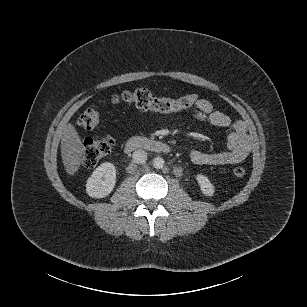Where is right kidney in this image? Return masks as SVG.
Returning a JSON list of instances; mask_svg holds the SVG:
<instances>
[{
  "instance_id": "right-kidney-1",
  "label": "right kidney",
  "mask_w": 307,
  "mask_h": 307,
  "mask_svg": "<svg viewBox=\"0 0 307 307\" xmlns=\"http://www.w3.org/2000/svg\"><path fill=\"white\" fill-rule=\"evenodd\" d=\"M116 183V169L112 163L105 162L97 167L87 180L86 191L90 197L108 196Z\"/></svg>"
}]
</instances>
